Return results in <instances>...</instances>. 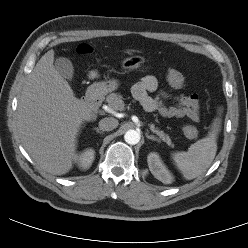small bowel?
Segmentation results:
<instances>
[{"label":"small bowel","mask_w":248,"mask_h":248,"mask_svg":"<svg viewBox=\"0 0 248 248\" xmlns=\"http://www.w3.org/2000/svg\"><path fill=\"white\" fill-rule=\"evenodd\" d=\"M90 77L96 78L98 73L91 71ZM157 88L158 81L156 77L147 75L132 87V93L144 109L149 112H157L161 116L168 118L188 117L193 121H199L200 106L199 98L196 94L171 96L161 91L155 97L150 96L149 94L155 92ZM170 99L173 100L174 105L169 106L166 104V100Z\"/></svg>","instance_id":"c3829d8e"}]
</instances>
